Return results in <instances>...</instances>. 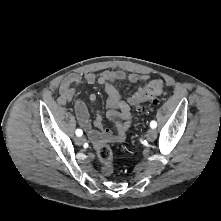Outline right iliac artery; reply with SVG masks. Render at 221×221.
I'll use <instances>...</instances> for the list:
<instances>
[{"label": "right iliac artery", "mask_w": 221, "mask_h": 221, "mask_svg": "<svg viewBox=\"0 0 221 221\" xmlns=\"http://www.w3.org/2000/svg\"><path fill=\"white\" fill-rule=\"evenodd\" d=\"M75 133L78 137L82 136V134H83L81 129H77Z\"/></svg>", "instance_id": "1"}]
</instances>
